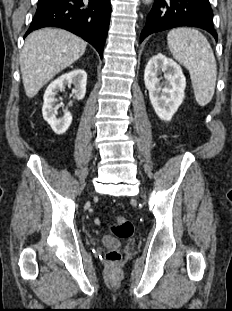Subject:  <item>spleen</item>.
Instances as JSON below:
<instances>
[{"mask_svg": "<svg viewBox=\"0 0 232 311\" xmlns=\"http://www.w3.org/2000/svg\"><path fill=\"white\" fill-rule=\"evenodd\" d=\"M167 42L173 57L189 71L197 103L207 105L214 95L217 67L206 37L196 29L182 27L171 30Z\"/></svg>", "mask_w": 232, "mask_h": 311, "instance_id": "1", "label": "spleen"}]
</instances>
